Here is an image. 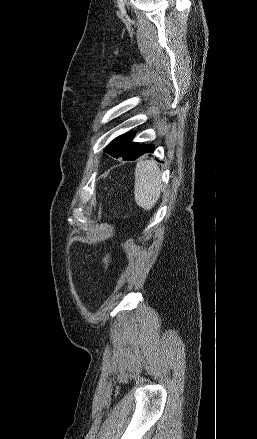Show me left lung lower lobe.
Here are the masks:
<instances>
[{"label":"left lung lower lobe","mask_w":257,"mask_h":439,"mask_svg":"<svg viewBox=\"0 0 257 439\" xmlns=\"http://www.w3.org/2000/svg\"><path fill=\"white\" fill-rule=\"evenodd\" d=\"M153 151H154L153 144L141 145L138 143L137 146L135 147V149L129 155L124 156L122 159L124 161H126V160L133 161L140 156H146L150 153H153Z\"/></svg>","instance_id":"obj_1"}]
</instances>
